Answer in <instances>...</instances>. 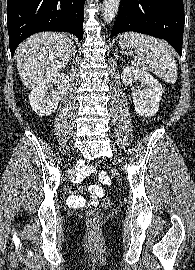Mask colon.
I'll list each match as a JSON object with an SVG mask.
<instances>
[{
    "instance_id": "colon-1",
    "label": "colon",
    "mask_w": 195,
    "mask_h": 270,
    "mask_svg": "<svg viewBox=\"0 0 195 270\" xmlns=\"http://www.w3.org/2000/svg\"><path fill=\"white\" fill-rule=\"evenodd\" d=\"M111 205H112V200H110V199L105 200V206L110 207ZM86 220H87V223L91 227L95 228L100 223V216H99L97 211L90 210L87 212Z\"/></svg>"
}]
</instances>
